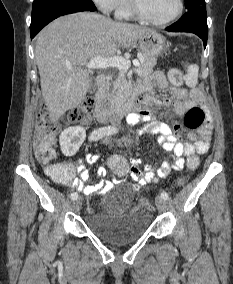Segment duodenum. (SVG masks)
I'll list each match as a JSON object with an SVG mask.
<instances>
[{"label":"duodenum","mask_w":233,"mask_h":284,"mask_svg":"<svg viewBox=\"0 0 233 284\" xmlns=\"http://www.w3.org/2000/svg\"><path fill=\"white\" fill-rule=\"evenodd\" d=\"M109 78L105 74L97 76L96 85L97 90L95 93L96 109L95 117L102 123H108L115 127L119 124L121 118L135 109L143 91L138 88L130 97L122 104L111 105L106 99V90L108 87ZM116 128V127H115Z\"/></svg>","instance_id":"410a0bca"}]
</instances>
